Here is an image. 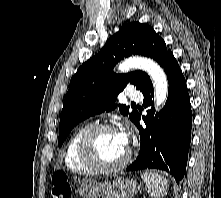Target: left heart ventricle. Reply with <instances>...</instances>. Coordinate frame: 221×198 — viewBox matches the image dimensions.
Here are the masks:
<instances>
[{"instance_id":"1","label":"left heart ventricle","mask_w":221,"mask_h":198,"mask_svg":"<svg viewBox=\"0 0 221 198\" xmlns=\"http://www.w3.org/2000/svg\"><path fill=\"white\" fill-rule=\"evenodd\" d=\"M127 147L122 144L117 131H105L96 140V154L98 159L107 165L120 162L126 155Z\"/></svg>"}]
</instances>
